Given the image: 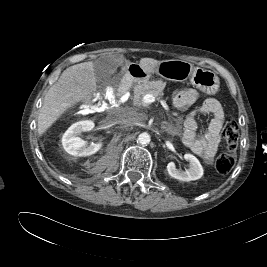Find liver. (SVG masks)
I'll return each instance as SVG.
<instances>
[{
  "label": "liver",
  "instance_id": "6515ba94",
  "mask_svg": "<svg viewBox=\"0 0 267 267\" xmlns=\"http://www.w3.org/2000/svg\"><path fill=\"white\" fill-rule=\"evenodd\" d=\"M121 72L129 78L130 62L124 60ZM160 61L153 58H141L139 65L150 76L155 73ZM95 63L93 61L73 65L63 71L58 81L53 84L45 95L38 115V133L42 135L53 123L78 103L91 105L97 89Z\"/></svg>",
  "mask_w": 267,
  "mask_h": 267
}]
</instances>
